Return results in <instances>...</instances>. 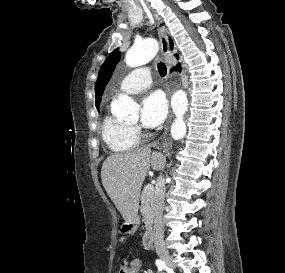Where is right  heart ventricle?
Segmentation results:
<instances>
[{"label": "right heart ventricle", "instance_id": "right-heart-ventricle-1", "mask_svg": "<svg viewBox=\"0 0 285 273\" xmlns=\"http://www.w3.org/2000/svg\"><path fill=\"white\" fill-rule=\"evenodd\" d=\"M101 136L106 146L116 153L131 151L138 144L134 128L111 115H106L102 121Z\"/></svg>", "mask_w": 285, "mask_h": 273}]
</instances>
